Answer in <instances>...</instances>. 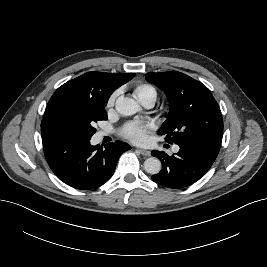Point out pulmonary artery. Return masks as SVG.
<instances>
[{
	"mask_svg": "<svg viewBox=\"0 0 267 267\" xmlns=\"http://www.w3.org/2000/svg\"><path fill=\"white\" fill-rule=\"evenodd\" d=\"M154 102H155L154 100H147V101L143 102L142 104L147 108H151V107H153ZM100 135L103 136V135H105V133L102 132ZM178 150H179V147L178 146H174L173 151L177 152Z\"/></svg>",
	"mask_w": 267,
	"mask_h": 267,
	"instance_id": "obj_1",
	"label": "pulmonary artery"
}]
</instances>
